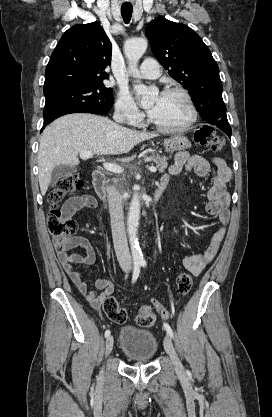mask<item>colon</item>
I'll list each match as a JSON object with an SVG mask.
<instances>
[{"label":"colon","instance_id":"obj_1","mask_svg":"<svg viewBox=\"0 0 272 417\" xmlns=\"http://www.w3.org/2000/svg\"><path fill=\"white\" fill-rule=\"evenodd\" d=\"M194 141L199 146L208 147L213 151H220L223 142L210 126H199L194 132ZM83 183L77 174H66L56 183L50 191L48 200L50 209L47 214V227L51 236L57 241L58 249L62 250L67 245L71 237L77 231V223L66 218L59 205L63 198L72 192L78 191ZM193 286V279L190 274L182 272L176 278V287L181 295L188 294ZM102 308L106 316L114 323L122 324L128 318V311L121 307L114 297H107ZM153 308L160 314L163 319L170 317L169 311L157 299L151 300V305L143 306L136 315V322L139 326L150 327L155 322V313Z\"/></svg>","mask_w":272,"mask_h":417}]
</instances>
